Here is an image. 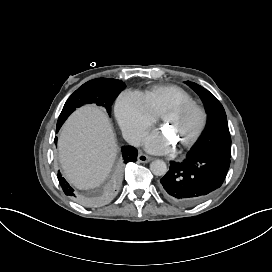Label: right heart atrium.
Instances as JSON below:
<instances>
[{
  "mask_svg": "<svg viewBox=\"0 0 272 272\" xmlns=\"http://www.w3.org/2000/svg\"><path fill=\"white\" fill-rule=\"evenodd\" d=\"M116 111L124 132L134 142H138L157 120L145 96L137 92H123L117 101Z\"/></svg>",
  "mask_w": 272,
  "mask_h": 272,
  "instance_id": "d8ad5b80",
  "label": "right heart atrium"
}]
</instances>
